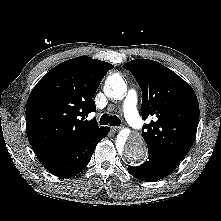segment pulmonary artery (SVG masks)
I'll return each instance as SVG.
<instances>
[{"label": "pulmonary artery", "mask_w": 221, "mask_h": 221, "mask_svg": "<svg viewBox=\"0 0 221 221\" xmlns=\"http://www.w3.org/2000/svg\"><path fill=\"white\" fill-rule=\"evenodd\" d=\"M122 107L128 123L136 129L141 128L143 125V121L137 110V95L134 90H130L127 93Z\"/></svg>", "instance_id": "1"}]
</instances>
